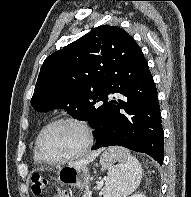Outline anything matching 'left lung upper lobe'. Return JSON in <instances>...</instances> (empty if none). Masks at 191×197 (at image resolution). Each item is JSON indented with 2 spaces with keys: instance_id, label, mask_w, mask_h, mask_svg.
I'll return each mask as SVG.
<instances>
[{
  "instance_id": "left-lung-upper-lobe-1",
  "label": "left lung upper lobe",
  "mask_w": 191,
  "mask_h": 197,
  "mask_svg": "<svg viewBox=\"0 0 191 197\" xmlns=\"http://www.w3.org/2000/svg\"><path fill=\"white\" fill-rule=\"evenodd\" d=\"M148 64L134 39L118 26L103 25L44 61L31 105L37 111L66 109L89 121L120 84L125 72Z\"/></svg>"
}]
</instances>
